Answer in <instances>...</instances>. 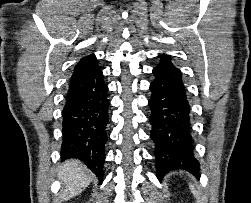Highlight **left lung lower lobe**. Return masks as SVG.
Masks as SVG:
<instances>
[{"mask_svg": "<svg viewBox=\"0 0 251 203\" xmlns=\"http://www.w3.org/2000/svg\"><path fill=\"white\" fill-rule=\"evenodd\" d=\"M159 57L160 63L152 72L155 78L150 84L152 96L148 102L157 177L161 180L173 170H186L199 177L200 164L194 157L187 89L181 71L171 62L170 56Z\"/></svg>", "mask_w": 251, "mask_h": 203, "instance_id": "1", "label": "left lung lower lobe"}]
</instances>
